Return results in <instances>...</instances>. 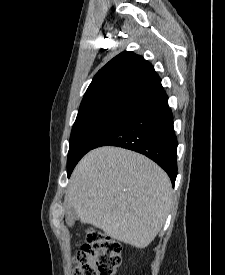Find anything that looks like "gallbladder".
<instances>
[{"label":"gallbladder","mask_w":225,"mask_h":275,"mask_svg":"<svg viewBox=\"0 0 225 275\" xmlns=\"http://www.w3.org/2000/svg\"><path fill=\"white\" fill-rule=\"evenodd\" d=\"M76 220H78V215H77L76 210L72 206L67 207V209H66L67 223L69 225H73Z\"/></svg>","instance_id":"bac80fb5"}]
</instances>
